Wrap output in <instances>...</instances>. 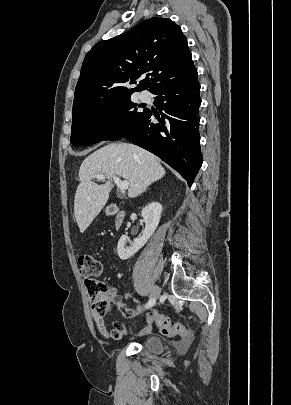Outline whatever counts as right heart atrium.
Masks as SVG:
<instances>
[{
    "instance_id": "1",
    "label": "right heart atrium",
    "mask_w": 291,
    "mask_h": 405,
    "mask_svg": "<svg viewBox=\"0 0 291 405\" xmlns=\"http://www.w3.org/2000/svg\"><path fill=\"white\" fill-rule=\"evenodd\" d=\"M112 120H113V118H108V119L106 120V124L111 123V122H112Z\"/></svg>"
}]
</instances>
